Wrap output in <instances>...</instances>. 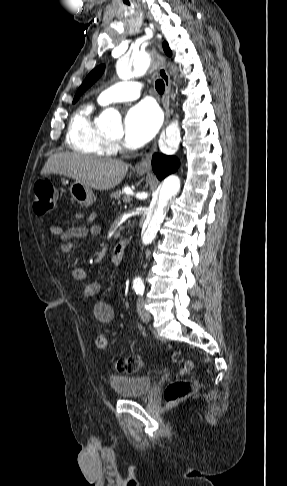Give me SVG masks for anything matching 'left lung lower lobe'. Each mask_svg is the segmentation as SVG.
<instances>
[{
    "mask_svg": "<svg viewBox=\"0 0 287 486\" xmlns=\"http://www.w3.org/2000/svg\"><path fill=\"white\" fill-rule=\"evenodd\" d=\"M178 166L179 161L174 156H166L164 154H154L153 156L152 168L160 180L175 172Z\"/></svg>",
    "mask_w": 287,
    "mask_h": 486,
    "instance_id": "0a47b994",
    "label": "left lung lower lobe"
}]
</instances>
